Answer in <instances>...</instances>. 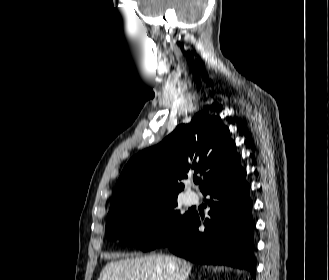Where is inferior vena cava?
I'll list each match as a JSON object with an SVG mask.
<instances>
[{"label":"inferior vena cava","mask_w":329,"mask_h":280,"mask_svg":"<svg viewBox=\"0 0 329 280\" xmlns=\"http://www.w3.org/2000/svg\"><path fill=\"white\" fill-rule=\"evenodd\" d=\"M177 278H178L179 280H182V278H181V276L178 274V272H177Z\"/></svg>","instance_id":"obj_1"}]
</instances>
